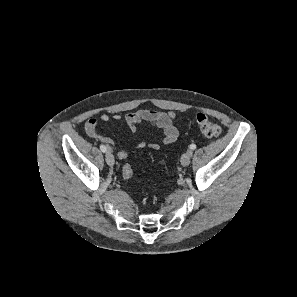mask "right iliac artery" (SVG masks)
<instances>
[{
  "label": "right iliac artery",
  "instance_id": "obj_1",
  "mask_svg": "<svg viewBox=\"0 0 297 297\" xmlns=\"http://www.w3.org/2000/svg\"><path fill=\"white\" fill-rule=\"evenodd\" d=\"M100 150L105 153L107 151V148L105 145H100Z\"/></svg>",
  "mask_w": 297,
  "mask_h": 297
}]
</instances>
